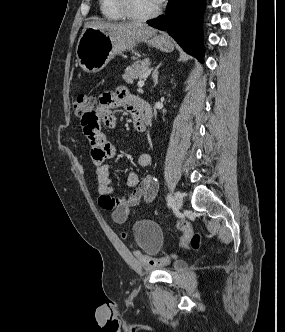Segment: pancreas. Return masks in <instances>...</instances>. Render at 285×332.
I'll use <instances>...</instances> for the list:
<instances>
[{
  "mask_svg": "<svg viewBox=\"0 0 285 332\" xmlns=\"http://www.w3.org/2000/svg\"><path fill=\"white\" fill-rule=\"evenodd\" d=\"M150 60L144 59L142 61H136L126 68L123 74V79L126 83L132 84L135 79H142L149 70Z\"/></svg>",
  "mask_w": 285,
  "mask_h": 332,
  "instance_id": "obj_1",
  "label": "pancreas"
}]
</instances>
